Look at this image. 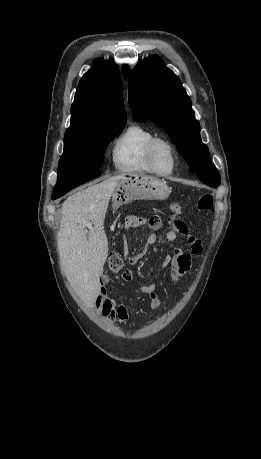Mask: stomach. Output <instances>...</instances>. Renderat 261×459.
<instances>
[{
    "mask_svg": "<svg viewBox=\"0 0 261 459\" xmlns=\"http://www.w3.org/2000/svg\"><path fill=\"white\" fill-rule=\"evenodd\" d=\"M171 190L167 184L145 174H129L117 185L112 195L116 205L130 203L135 199L165 200Z\"/></svg>",
    "mask_w": 261,
    "mask_h": 459,
    "instance_id": "0dacf381",
    "label": "stomach"
}]
</instances>
